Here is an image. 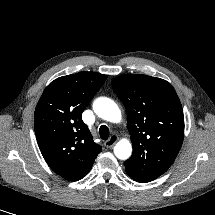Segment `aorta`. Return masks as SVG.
I'll use <instances>...</instances> for the list:
<instances>
[{"mask_svg": "<svg viewBox=\"0 0 215 215\" xmlns=\"http://www.w3.org/2000/svg\"><path fill=\"white\" fill-rule=\"evenodd\" d=\"M94 112L102 119L117 123L121 120V112L117 104L109 98L100 97L93 103ZM132 152L131 143L126 140H120L114 147V153L118 159H128Z\"/></svg>", "mask_w": 215, "mask_h": 215, "instance_id": "762f6f07", "label": "aorta"}]
</instances>
